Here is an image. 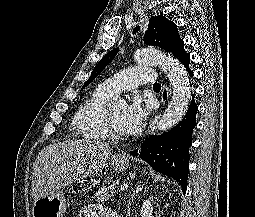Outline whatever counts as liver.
<instances>
[{
  "instance_id": "1",
  "label": "liver",
  "mask_w": 255,
  "mask_h": 217,
  "mask_svg": "<svg viewBox=\"0 0 255 217\" xmlns=\"http://www.w3.org/2000/svg\"><path fill=\"white\" fill-rule=\"evenodd\" d=\"M111 155L108 144L69 140L46 146L33 166L31 194L34 201L54 195L63 187L102 171Z\"/></svg>"
}]
</instances>
